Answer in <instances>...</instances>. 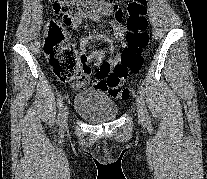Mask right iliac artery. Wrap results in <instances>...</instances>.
<instances>
[{
  "label": "right iliac artery",
  "mask_w": 207,
  "mask_h": 179,
  "mask_svg": "<svg viewBox=\"0 0 207 179\" xmlns=\"http://www.w3.org/2000/svg\"><path fill=\"white\" fill-rule=\"evenodd\" d=\"M57 104H58V108H59V114H58V123H59L60 117H61V109L63 107V98L61 95H59L57 98Z\"/></svg>",
  "instance_id": "1"
}]
</instances>
